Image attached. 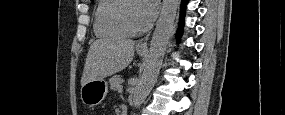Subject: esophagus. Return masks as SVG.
I'll use <instances>...</instances> for the list:
<instances>
[{
  "label": "esophagus",
  "mask_w": 285,
  "mask_h": 115,
  "mask_svg": "<svg viewBox=\"0 0 285 115\" xmlns=\"http://www.w3.org/2000/svg\"><path fill=\"white\" fill-rule=\"evenodd\" d=\"M137 47L141 48V49H147V47H148V37H146L145 39L139 41L138 44H137Z\"/></svg>",
  "instance_id": "obj_1"
}]
</instances>
